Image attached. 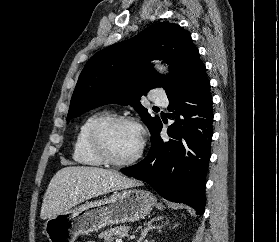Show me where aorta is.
<instances>
[{"label": "aorta", "mask_w": 279, "mask_h": 242, "mask_svg": "<svg viewBox=\"0 0 279 242\" xmlns=\"http://www.w3.org/2000/svg\"><path fill=\"white\" fill-rule=\"evenodd\" d=\"M155 68L160 73H166L167 72L166 68L163 65H160L159 63L155 64Z\"/></svg>", "instance_id": "obj_1"}]
</instances>
